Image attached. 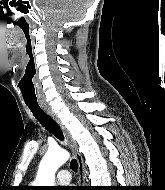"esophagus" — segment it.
Here are the masks:
<instances>
[{
    "label": "esophagus",
    "instance_id": "obj_1",
    "mask_svg": "<svg viewBox=\"0 0 165 190\" xmlns=\"http://www.w3.org/2000/svg\"><path fill=\"white\" fill-rule=\"evenodd\" d=\"M41 108L60 126V128L62 129L65 139L73 153V155L75 156L77 163H78V183L80 186H84L86 183L85 180V173H84V164H83V159L81 154L78 152L77 149V145L74 142V140L71 138L69 132L64 128V126L62 125L61 121L59 120V118L57 117V115L54 113V111L46 104H41Z\"/></svg>",
    "mask_w": 165,
    "mask_h": 190
}]
</instances>
